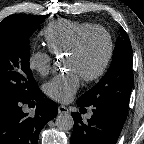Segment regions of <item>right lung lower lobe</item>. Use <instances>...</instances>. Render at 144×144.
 <instances>
[{
	"instance_id": "1",
	"label": "right lung lower lobe",
	"mask_w": 144,
	"mask_h": 144,
	"mask_svg": "<svg viewBox=\"0 0 144 144\" xmlns=\"http://www.w3.org/2000/svg\"><path fill=\"white\" fill-rule=\"evenodd\" d=\"M35 103V115L30 117L22 106ZM56 114V103L44 99L40 90L29 99L0 106V144H38L41 129Z\"/></svg>"
}]
</instances>
